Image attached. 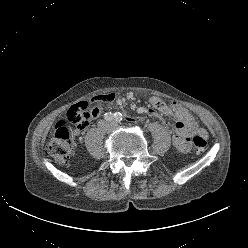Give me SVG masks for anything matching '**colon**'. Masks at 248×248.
<instances>
[{"label": "colon", "mask_w": 248, "mask_h": 248, "mask_svg": "<svg viewBox=\"0 0 248 248\" xmlns=\"http://www.w3.org/2000/svg\"><path fill=\"white\" fill-rule=\"evenodd\" d=\"M111 94L100 95L89 101H82L71 106L65 119L59 120L46 144L48 154L60 165L69 163L74 151V132L67 126L73 125L78 130L87 128L98 112L97 102H112ZM193 146L197 153H202L207 145L205 130L198 129L193 137Z\"/></svg>", "instance_id": "1"}]
</instances>
